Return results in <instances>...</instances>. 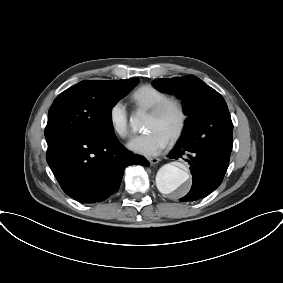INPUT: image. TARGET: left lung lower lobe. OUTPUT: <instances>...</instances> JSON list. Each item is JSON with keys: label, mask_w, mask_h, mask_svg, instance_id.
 <instances>
[{"label": "left lung lower lobe", "mask_w": 283, "mask_h": 283, "mask_svg": "<svg viewBox=\"0 0 283 283\" xmlns=\"http://www.w3.org/2000/svg\"><path fill=\"white\" fill-rule=\"evenodd\" d=\"M195 129L183 131L182 137L168 155L169 158H185L190 165L192 187L181 201L203 198L222 182L229 165L231 152L216 151L204 145Z\"/></svg>", "instance_id": "left-lung-lower-lobe-1"}]
</instances>
